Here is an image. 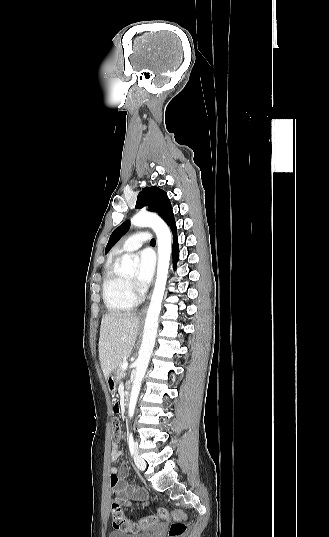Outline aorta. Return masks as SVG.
I'll return each mask as SVG.
<instances>
[{
    "label": "aorta",
    "instance_id": "obj_1",
    "mask_svg": "<svg viewBox=\"0 0 329 537\" xmlns=\"http://www.w3.org/2000/svg\"><path fill=\"white\" fill-rule=\"evenodd\" d=\"M131 224L135 227L149 226L156 232L158 244V266L155 286L145 320L139 356L135 362L136 371L129 401V417H133L134 415L136 402L141 388V382L146 373L150 356L155 345L158 319L168 278L172 245V236L170 230L160 217L151 213L140 212L133 216L131 219ZM136 263V257H131L125 254L122 257L120 271L125 273H133Z\"/></svg>",
    "mask_w": 329,
    "mask_h": 537
}]
</instances>
